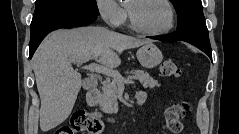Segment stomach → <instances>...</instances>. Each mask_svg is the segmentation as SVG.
I'll return each mask as SVG.
<instances>
[{"instance_id":"1","label":"stomach","mask_w":239,"mask_h":134,"mask_svg":"<svg viewBox=\"0 0 239 134\" xmlns=\"http://www.w3.org/2000/svg\"><path fill=\"white\" fill-rule=\"evenodd\" d=\"M136 55L141 66L147 69L158 66L163 60L162 52L152 42L146 43L139 48Z\"/></svg>"}]
</instances>
